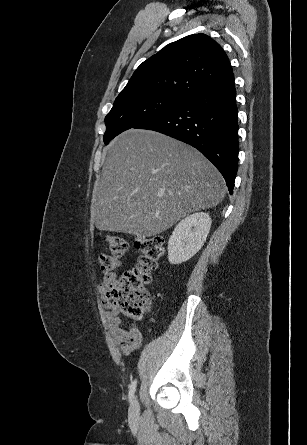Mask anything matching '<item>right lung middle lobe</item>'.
<instances>
[{
  "mask_svg": "<svg viewBox=\"0 0 307 445\" xmlns=\"http://www.w3.org/2000/svg\"><path fill=\"white\" fill-rule=\"evenodd\" d=\"M184 99L182 96L162 94L118 95L105 117L104 143L108 144L121 132L170 111Z\"/></svg>",
  "mask_w": 307,
  "mask_h": 445,
  "instance_id": "obj_1",
  "label": "right lung middle lobe"
}]
</instances>
